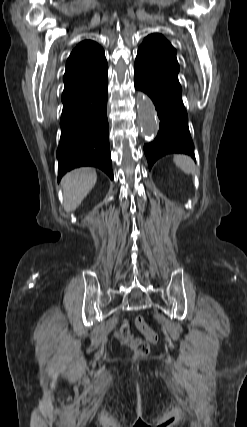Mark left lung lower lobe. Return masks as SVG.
<instances>
[{
    "label": "left lung lower lobe",
    "mask_w": 247,
    "mask_h": 427,
    "mask_svg": "<svg viewBox=\"0 0 247 427\" xmlns=\"http://www.w3.org/2000/svg\"><path fill=\"white\" fill-rule=\"evenodd\" d=\"M134 84L152 99L161 120L156 138L144 146L149 169L157 159L171 153L187 154L195 160L181 88L166 81L139 59L135 60Z\"/></svg>",
    "instance_id": "obj_1"
}]
</instances>
